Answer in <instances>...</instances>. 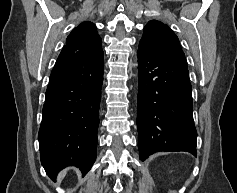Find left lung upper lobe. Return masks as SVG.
Instances as JSON below:
<instances>
[{
    "instance_id": "left-lung-upper-lobe-1",
    "label": "left lung upper lobe",
    "mask_w": 237,
    "mask_h": 193,
    "mask_svg": "<svg viewBox=\"0 0 237 193\" xmlns=\"http://www.w3.org/2000/svg\"><path fill=\"white\" fill-rule=\"evenodd\" d=\"M139 44L187 66L178 37L166 24L160 21L151 20L147 23Z\"/></svg>"
}]
</instances>
